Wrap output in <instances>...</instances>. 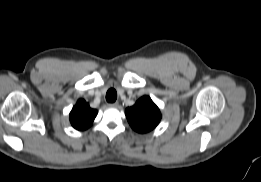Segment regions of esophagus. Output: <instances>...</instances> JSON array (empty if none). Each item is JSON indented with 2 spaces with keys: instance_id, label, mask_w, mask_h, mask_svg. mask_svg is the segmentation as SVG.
Wrapping results in <instances>:
<instances>
[{
  "instance_id": "esophagus-1",
  "label": "esophagus",
  "mask_w": 261,
  "mask_h": 182,
  "mask_svg": "<svg viewBox=\"0 0 261 182\" xmlns=\"http://www.w3.org/2000/svg\"><path fill=\"white\" fill-rule=\"evenodd\" d=\"M118 105H119L118 102H113L109 104V106L111 107H117Z\"/></svg>"
}]
</instances>
